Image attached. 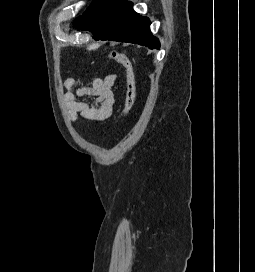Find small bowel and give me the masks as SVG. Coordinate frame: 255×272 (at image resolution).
I'll list each match as a JSON object with an SVG mask.
<instances>
[{
  "mask_svg": "<svg viewBox=\"0 0 255 272\" xmlns=\"http://www.w3.org/2000/svg\"><path fill=\"white\" fill-rule=\"evenodd\" d=\"M116 81V74L92 77L87 86H77L74 78L66 80L64 105L69 119L75 122L79 115L93 122L107 119L116 105Z\"/></svg>",
  "mask_w": 255,
  "mask_h": 272,
  "instance_id": "obj_1",
  "label": "small bowel"
}]
</instances>
